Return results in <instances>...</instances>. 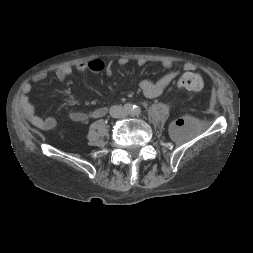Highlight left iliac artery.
Masks as SVG:
<instances>
[{"label":"left iliac artery","instance_id":"left-iliac-artery-1","mask_svg":"<svg viewBox=\"0 0 253 253\" xmlns=\"http://www.w3.org/2000/svg\"><path fill=\"white\" fill-rule=\"evenodd\" d=\"M140 112H141V109L138 106H134V113L138 115L140 114Z\"/></svg>","mask_w":253,"mask_h":253}]
</instances>
